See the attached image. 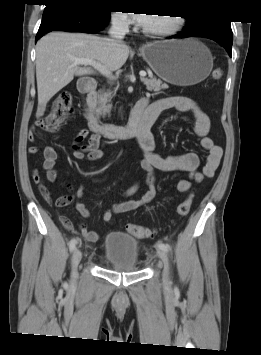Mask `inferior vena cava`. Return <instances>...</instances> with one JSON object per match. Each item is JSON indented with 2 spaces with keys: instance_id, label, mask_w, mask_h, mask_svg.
Returning a JSON list of instances; mask_svg holds the SVG:
<instances>
[{
  "instance_id": "obj_1",
  "label": "inferior vena cava",
  "mask_w": 261,
  "mask_h": 355,
  "mask_svg": "<svg viewBox=\"0 0 261 355\" xmlns=\"http://www.w3.org/2000/svg\"><path fill=\"white\" fill-rule=\"evenodd\" d=\"M112 26L109 30L110 38L108 39L109 43L118 47L123 44V39L126 33L129 32V27L127 21L118 15H113L111 18Z\"/></svg>"
}]
</instances>
